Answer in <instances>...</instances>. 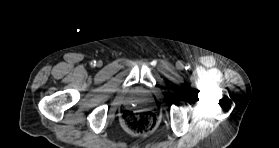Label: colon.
Instances as JSON below:
<instances>
[{
	"label": "colon",
	"instance_id": "obj_1",
	"mask_svg": "<svg viewBox=\"0 0 279 148\" xmlns=\"http://www.w3.org/2000/svg\"><path fill=\"white\" fill-rule=\"evenodd\" d=\"M122 125L132 134H146L155 129L157 117L150 111H126L122 116Z\"/></svg>",
	"mask_w": 279,
	"mask_h": 148
}]
</instances>
